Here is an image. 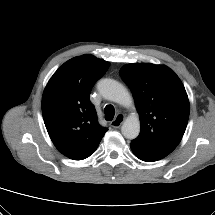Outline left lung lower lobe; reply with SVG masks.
I'll list each match as a JSON object with an SVG mask.
<instances>
[{
	"instance_id": "left-lung-lower-lobe-1",
	"label": "left lung lower lobe",
	"mask_w": 215,
	"mask_h": 215,
	"mask_svg": "<svg viewBox=\"0 0 215 215\" xmlns=\"http://www.w3.org/2000/svg\"><path fill=\"white\" fill-rule=\"evenodd\" d=\"M130 147L133 151V153L141 160L146 161V162H153V161H158L164 157L156 155L154 153H151L147 150H144L141 147H138L136 145L130 144Z\"/></svg>"
}]
</instances>
